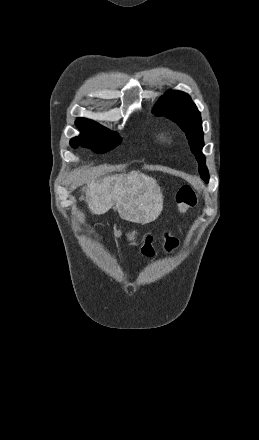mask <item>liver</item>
Returning a JSON list of instances; mask_svg holds the SVG:
<instances>
[{
  "label": "liver",
  "mask_w": 259,
  "mask_h": 440,
  "mask_svg": "<svg viewBox=\"0 0 259 440\" xmlns=\"http://www.w3.org/2000/svg\"><path fill=\"white\" fill-rule=\"evenodd\" d=\"M82 191L90 211L96 215L116 205L122 219L147 224L155 221L163 210V195L157 181L138 171L92 178Z\"/></svg>",
  "instance_id": "1"
}]
</instances>
